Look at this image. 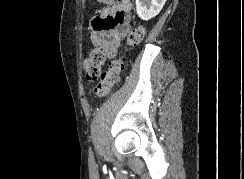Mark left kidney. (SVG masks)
<instances>
[{
	"label": "left kidney",
	"mask_w": 244,
	"mask_h": 179,
	"mask_svg": "<svg viewBox=\"0 0 244 179\" xmlns=\"http://www.w3.org/2000/svg\"><path fill=\"white\" fill-rule=\"evenodd\" d=\"M166 0H136V12L141 20H151L161 12Z\"/></svg>",
	"instance_id": "obj_1"
}]
</instances>
